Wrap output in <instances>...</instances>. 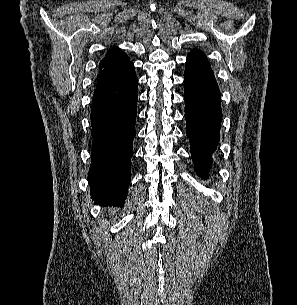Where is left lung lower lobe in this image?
Segmentation results:
<instances>
[{
  "label": "left lung lower lobe",
  "mask_w": 297,
  "mask_h": 305,
  "mask_svg": "<svg viewBox=\"0 0 297 305\" xmlns=\"http://www.w3.org/2000/svg\"><path fill=\"white\" fill-rule=\"evenodd\" d=\"M184 80L186 134L195 170L206 177L220 139V91L210 65L187 66Z\"/></svg>",
  "instance_id": "0a47b994"
}]
</instances>
